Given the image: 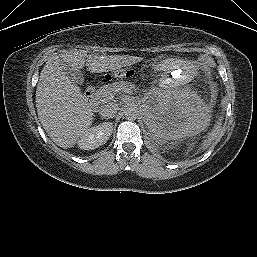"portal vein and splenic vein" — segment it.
Listing matches in <instances>:
<instances>
[{
    "mask_svg": "<svg viewBox=\"0 0 257 257\" xmlns=\"http://www.w3.org/2000/svg\"><path fill=\"white\" fill-rule=\"evenodd\" d=\"M118 91H124L125 93H129V94H131V93H132L131 89H129V88H125V87L120 88ZM111 97L113 98V96H111Z\"/></svg>",
    "mask_w": 257,
    "mask_h": 257,
    "instance_id": "1",
    "label": "portal vein and splenic vein"
}]
</instances>
